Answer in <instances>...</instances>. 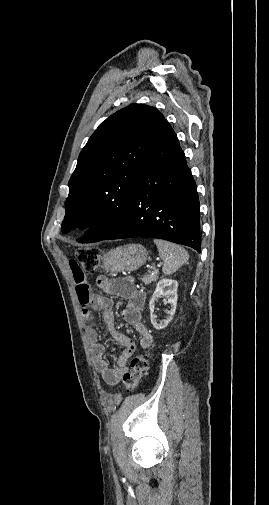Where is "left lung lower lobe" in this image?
Wrapping results in <instances>:
<instances>
[{
	"mask_svg": "<svg viewBox=\"0 0 269 505\" xmlns=\"http://www.w3.org/2000/svg\"><path fill=\"white\" fill-rule=\"evenodd\" d=\"M139 236L168 240L197 252L201 250L196 183L177 136L166 119L131 193L125 218L102 240Z\"/></svg>",
	"mask_w": 269,
	"mask_h": 505,
	"instance_id": "0a47b994",
	"label": "left lung lower lobe"
}]
</instances>
